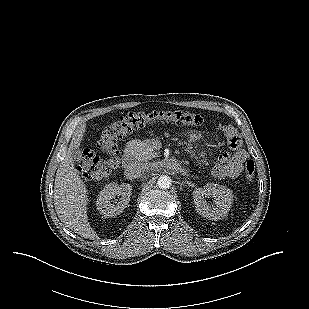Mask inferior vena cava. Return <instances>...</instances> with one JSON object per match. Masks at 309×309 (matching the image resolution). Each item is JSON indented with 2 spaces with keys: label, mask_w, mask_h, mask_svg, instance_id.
<instances>
[{
  "label": "inferior vena cava",
  "mask_w": 309,
  "mask_h": 309,
  "mask_svg": "<svg viewBox=\"0 0 309 309\" xmlns=\"http://www.w3.org/2000/svg\"><path fill=\"white\" fill-rule=\"evenodd\" d=\"M147 166L144 164H135L129 166L125 170V176L127 179H135L142 176V174L146 171Z\"/></svg>",
  "instance_id": "602c4592"
}]
</instances>
